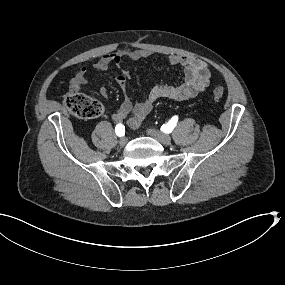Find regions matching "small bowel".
Listing matches in <instances>:
<instances>
[{
	"mask_svg": "<svg viewBox=\"0 0 285 285\" xmlns=\"http://www.w3.org/2000/svg\"><path fill=\"white\" fill-rule=\"evenodd\" d=\"M150 56V52L143 49H120L113 53L102 56L95 64L94 68L99 71L106 70L111 64L120 68L124 59L138 61L146 59ZM168 63L170 65L182 66L185 69L184 81L176 86L171 85H156L148 93L146 99L142 102L134 104L129 97H125L124 101L118 110L112 115L115 122H123L125 118L131 114L128 124L131 128L137 129L140 127L142 121L153 109L154 104L160 99L170 100H187L195 97L203 92L209 85L211 73L208 64L203 60L190 55H176L168 56ZM128 73H122L116 78L120 88L125 91L127 87ZM87 70L82 67L78 70L70 83V91L78 93L87 85ZM99 94L103 98H107L109 93L106 87L99 88Z\"/></svg>",
	"mask_w": 285,
	"mask_h": 285,
	"instance_id": "small-bowel-1",
	"label": "small bowel"
}]
</instances>
